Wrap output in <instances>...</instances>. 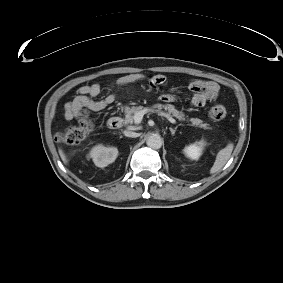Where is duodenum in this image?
<instances>
[{"label":"duodenum","instance_id":"410a0bca","mask_svg":"<svg viewBox=\"0 0 283 283\" xmlns=\"http://www.w3.org/2000/svg\"><path fill=\"white\" fill-rule=\"evenodd\" d=\"M122 123H123V120H122L121 117L114 116V117H111V118L108 119L107 126L111 130H116L119 127H121Z\"/></svg>","mask_w":283,"mask_h":283}]
</instances>
